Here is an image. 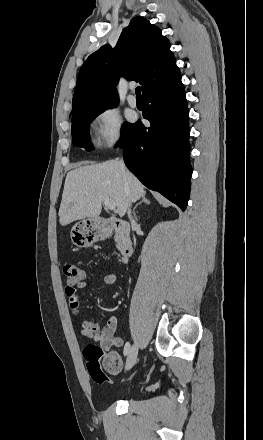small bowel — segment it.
<instances>
[{"instance_id": "obj_1", "label": "small bowel", "mask_w": 263, "mask_h": 440, "mask_svg": "<svg viewBox=\"0 0 263 440\" xmlns=\"http://www.w3.org/2000/svg\"><path fill=\"white\" fill-rule=\"evenodd\" d=\"M117 276L113 272L104 274L103 283L105 285L111 286L115 284ZM90 286L89 281H84L78 286L66 288V294L69 298V305L75 314L78 313V308L80 306V298L78 296L79 289H86ZM85 301L89 303V298ZM117 328V318L115 316H110L104 327H100L99 323L90 319H81L80 321V333L81 335L91 338L94 341L100 343L104 350H110L112 348H118L122 345V339L115 336V331Z\"/></svg>"}]
</instances>
